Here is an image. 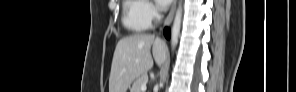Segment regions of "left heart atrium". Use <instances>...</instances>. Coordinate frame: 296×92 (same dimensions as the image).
Wrapping results in <instances>:
<instances>
[{"instance_id": "1", "label": "left heart atrium", "mask_w": 296, "mask_h": 92, "mask_svg": "<svg viewBox=\"0 0 296 92\" xmlns=\"http://www.w3.org/2000/svg\"><path fill=\"white\" fill-rule=\"evenodd\" d=\"M157 2V4L161 7V8H166L167 7V5L170 3V1L169 0H158V1H156Z\"/></svg>"}]
</instances>
